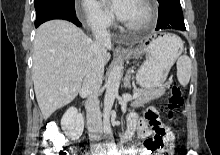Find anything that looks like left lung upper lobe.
I'll use <instances>...</instances> for the list:
<instances>
[{"label":"left lung upper lobe","instance_id":"left-lung-upper-lobe-1","mask_svg":"<svg viewBox=\"0 0 220 155\" xmlns=\"http://www.w3.org/2000/svg\"><path fill=\"white\" fill-rule=\"evenodd\" d=\"M166 1H170V0H158L159 3L166 2Z\"/></svg>","mask_w":220,"mask_h":155}]
</instances>
